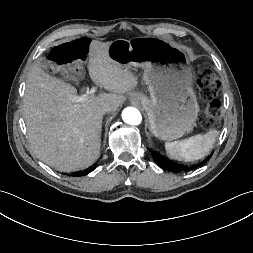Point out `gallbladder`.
<instances>
[{"label": "gallbladder", "mask_w": 253, "mask_h": 253, "mask_svg": "<svg viewBox=\"0 0 253 253\" xmlns=\"http://www.w3.org/2000/svg\"><path fill=\"white\" fill-rule=\"evenodd\" d=\"M40 63L43 67H48V61H46L45 59H40Z\"/></svg>", "instance_id": "bac80fb5"}]
</instances>
